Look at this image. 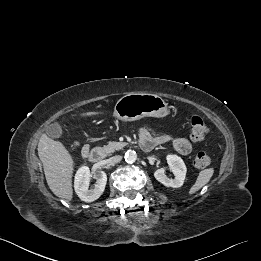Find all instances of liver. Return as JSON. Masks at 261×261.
<instances>
[{"label":"liver","mask_w":261,"mask_h":261,"mask_svg":"<svg viewBox=\"0 0 261 261\" xmlns=\"http://www.w3.org/2000/svg\"><path fill=\"white\" fill-rule=\"evenodd\" d=\"M98 114V112H87L80 116L90 117ZM38 155L43 164L50 190L57 197L71 201L73 198L74 160L69 151L61 142L43 134L38 143Z\"/></svg>","instance_id":"1"}]
</instances>
